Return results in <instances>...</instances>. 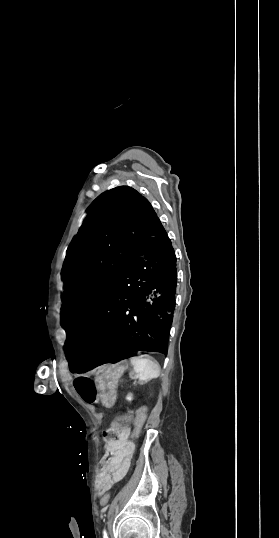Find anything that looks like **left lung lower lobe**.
<instances>
[{
	"label": "left lung lower lobe",
	"instance_id": "0a47b994",
	"mask_svg": "<svg viewBox=\"0 0 279 538\" xmlns=\"http://www.w3.org/2000/svg\"><path fill=\"white\" fill-rule=\"evenodd\" d=\"M176 278L174 249L157 218L90 320L67 334L70 370L81 373L132 351L167 355Z\"/></svg>",
	"mask_w": 279,
	"mask_h": 538
}]
</instances>
